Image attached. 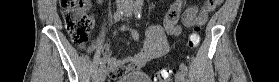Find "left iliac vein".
I'll return each instance as SVG.
<instances>
[{
  "label": "left iliac vein",
  "instance_id": "left-iliac-vein-1",
  "mask_svg": "<svg viewBox=\"0 0 279 82\" xmlns=\"http://www.w3.org/2000/svg\"><path fill=\"white\" fill-rule=\"evenodd\" d=\"M131 14H132V6L129 5V6H127V8L125 10V15L130 16ZM175 80H176V82H185L184 74L182 71H179L176 73Z\"/></svg>",
  "mask_w": 279,
  "mask_h": 82
}]
</instances>
